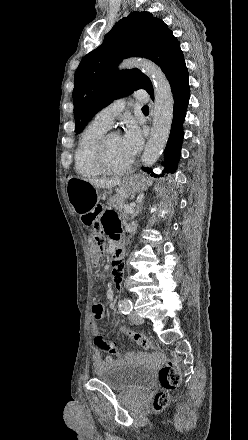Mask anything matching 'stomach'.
Returning <instances> with one entry per match:
<instances>
[{
	"label": "stomach",
	"instance_id": "stomach-1",
	"mask_svg": "<svg viewBox=\"0 0 248 440\" xmlns=\"http://www.w3.org/2000/svg\"><path fill=\"white\" fill-rule=\"evenodd\" d=\"M149 186V182L139 176H128L120 184V196L134 197L143 192ZM69 202L77 213H82L90 208L99 199L98 189L85 179L69 178L66 184Z\"/></svg>",
	"mask_w": 248,
	"mask_h": 440
}]
</instances>
